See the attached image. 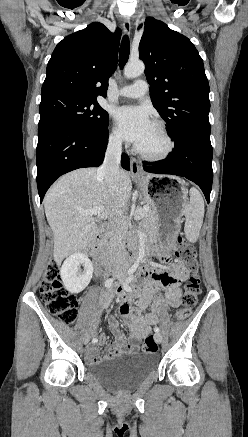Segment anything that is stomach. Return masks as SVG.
<instances>
[{
    "label": "stomach",
    "mask_w": 248,
    "mask_h": 437,
    "mask_svg": "<svg viewBox=\"0 0 248 437\" xmlns=\"http://www.w3.org/2000/svg\"><path fill=\"white\" fill-rule=\"evenodd\" d=\"M180 179L168 175L147 174L137 178L145 201L152 205L157 216V231L165 249L180 228V221L187 206L185 188L178 189L173 182Z\"/></svg>",
    "instance_id": "obj_1"
}]
</instances>
